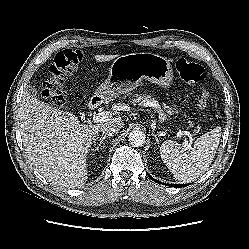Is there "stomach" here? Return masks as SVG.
<instances>
[{"instance_id":"0dacf381","label":"stomach","mask_w":249,"mask_h":249,"mask_svg":"<svg viewBox=\"0 0 249 249\" xmlns=\"http://www.w3.org/2000/svg\"><path fill=\"white\" fill-rule=\"evenodd\" d=\"M173 79L170 61L153 53H133L117 57L112 63L108 78L95 92L96 96L108 99L137 88L142 80L168 88ZM175 107L168 109L169 114Z\"/></svg>"}]
</instances>
